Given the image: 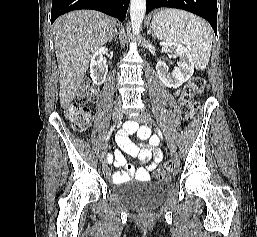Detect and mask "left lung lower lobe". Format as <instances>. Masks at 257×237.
<instances>
[{"label":"left lung lower lobe","instance_id":"left-lung-lower-lobe-1","mask_svg":"<svg viewBox=\"0 0 257 237\" xmlns=\"http://www.w3.org/2000/svg\"><path fill=\"white\" fill-rule=\"evenodd\" d=\"M160 7L183 9L205 18L217 33V0H146V13Z\"/></svg>","mask_w":257,"mask_h":237}]
</instances>
